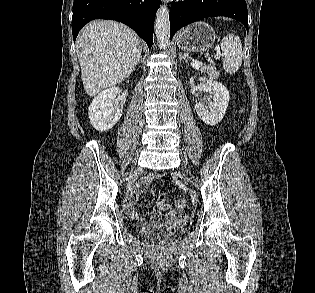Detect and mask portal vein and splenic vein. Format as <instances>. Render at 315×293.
<instances>
[{"label": "portal vein and splenic vein", "instance_id": "obj_1", "mask_svg": "<svg viewBox=\"0 0 315 293\" xmlns=\"http://www.w3.org/2000/svg\"><path fill=\"white\" fill-rule=\"evenodd\" d=\"M223 56V54H219L218 57ZM192 66L194 69H198L199 68V64L196 63H192Z\"/></svg>", "mask_w": 315, "mask_h": 293}]
</instances>
